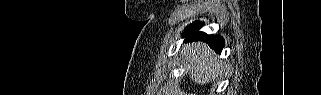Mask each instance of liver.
Wrapping results in <instances>:
<instances>
[{
	"mask_svg": "<svg viewBox=\"0 0 321 95\" xmlns=\"http://www.w3.org/2000/svg\"><path fill=\"white\" fill-rule=\"evenodd\" d=\"M183 51L188 62L189 76L194 82L207 84L214 81L218 73L221 72L222 64L205 43L188 44Z\"/></svg>",
	"mask_w": 321,
	"mask_h": 95,
	"instance_id": "6515ba94",
	"label": "liver"
}]
</instances>
